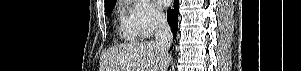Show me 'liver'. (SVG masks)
<instances>
[{
    "mask_svg": "<svg viewBox=\"0 0 301 71\" xmlns=\"http://www.w3.org/2000/svg\"><path fill=\"white\" fill-rule=\"evenodd\" d=\"M169 55L152 41L133 42L111 48L102 54L101 71H167Z\"/></svg>",
    "mask_w": 301,
    "mask_h": 71,
    "instance_id": "liver-1",
    "label": "liver"
}]
</instances>
